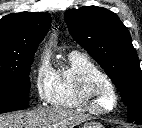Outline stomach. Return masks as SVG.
<instances>
[{
  "label": "stomach",
  "instance_id": "1",
  "mask_svg": "<svg viewBox=\"0 0 142 128\" xmlns=\"http://www.w3.org/2000/svg\"><path fill=\"white\" fill-rule=\"evenodd\" d=\"M82 128H103V126L99 123L87 122L83 125Z\"/></svg>",
  "mask_w": 142,
  "mask_h": 128
}]
</instances>
